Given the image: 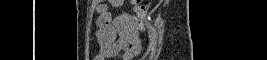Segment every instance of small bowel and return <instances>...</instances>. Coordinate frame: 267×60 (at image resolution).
Returning a JSON list of instances; mask_svg holds the SVG:
<instances>
[{"instance_id":"c3829d8e","label":"small bowel","mask_w":267,"mask_h":60,"mask_svg":"<svg viewBox=\"0 0 267 60\" xmlns=\"http://www.w3.org/2000/svg\"><path fill=\"white\" fill-rule=\"evenodd\" d=\"M110 5L121 7L123 1L111 0ZM96 37L99 51L96 60L118 58L128 60L134 57L141 48V24L127 14L112 17L104 6L98 8Z\"/></svg>"}]
</instances>
